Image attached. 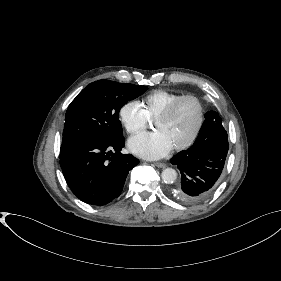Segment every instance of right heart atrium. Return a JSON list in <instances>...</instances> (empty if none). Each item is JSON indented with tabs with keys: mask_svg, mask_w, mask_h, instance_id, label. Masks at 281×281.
I'll use <instances>...</instances> for the list:
<instances>
[{
	"mask_svg": "<svg viewBox=\"0 0 281 281\" xmlns=\"http://www.w3.org/2000/svg\"><path fill=\"white\" fill-rule=\"evenodd\" d=\"M118 118L125 130L135 135L147 126L148 119L137 101L125 102L118 110Z\"/></svg>",
	"mask_w": 281,
	"mask_h": 281,
	"instance_id": "1",
	"label": "right heart atrium"
}]
</instances>
